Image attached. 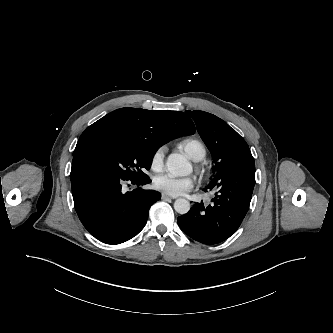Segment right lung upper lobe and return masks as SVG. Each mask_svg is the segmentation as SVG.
I'll return each mask as SVG.
<instances>
[{
  "label": "right lung upper lobe",
  "mask_w": 333,
  "mask_h": 333,
  "mask_svg": "<svg viewBox=\"0 0 333 333\" xmlns=\"http://www.w3.org/2000/svg\"><path fill=\"white\" fill-rule=\"evenodd\" d=\"M194 132L192 120L183 112L121 108L93 123L80 138L97 134L116 135L159 148L174 138Z\"/></svg>",
  "instance_id": "obj_1"
}]
</instances>
